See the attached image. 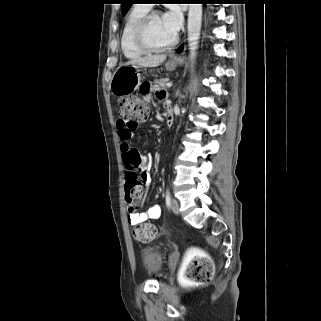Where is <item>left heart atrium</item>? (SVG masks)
Wrapping results in <instances>:
<instances>
[{
  "mask_svg": "<svg viewBox=\"0 0 321 321\" xmlns=\"http://www.w3.org/2000/svg\"><path fill=\"white\" fill-rule=\"evenodd\" d=\"M165 25L176 34L182 25V15L178 8L172 7L162 16Z\"/></svg>",
  "mask_w": 321,
  "mask_h": 321,
  "instance_id": "left-heart-atrium-1",
  "label": "left heart atrium"
}]
</instances>
